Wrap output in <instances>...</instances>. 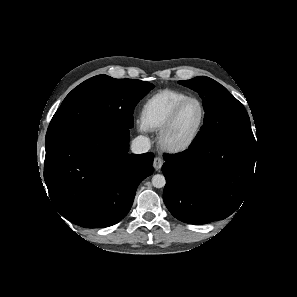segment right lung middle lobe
Wrapping results in <instances>:
<instances>
[{"label":"right lung middle lobe","mask_w":297,"mask_h":297,"mask_svg":"<svg viewBox=\"0 0 297 297\" xmlns=\"http://www.w3.org/2000/svg\"><path fill=\"white\" fill-rule=\"evenodd\" d=\"M154 85L141 80L92 77L74 88L54 114L46 151L84 134L133 127L134 108Z\"/></svg>","instance_id":"obj_1"}]
</instances>
